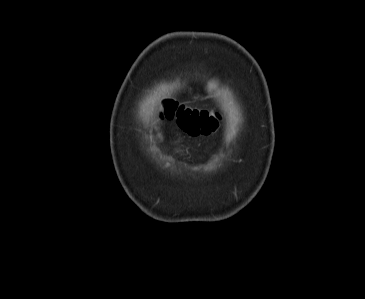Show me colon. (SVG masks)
Returning a JSON list of instances; mask_svg holds the SVG:
<instances>
[{"label": "colon", "instance_id": "1", "mask_svg": "<svg viewBox=\"0 0 365 299\" xmlns=\"http://www.w3.org/2000/svg\"><path fill=\"white\" fill-rule=\"evenodd\" d=\"M162 116L174 120L179 128L191 136L209 135L218 126V117L213 111L191 108L172 99L164 102Z\"/></svg>", "mask_w": 365, "mask_h": 299}]
</instances>
